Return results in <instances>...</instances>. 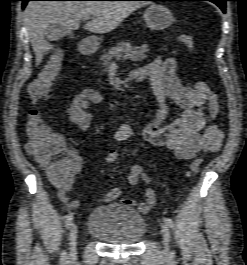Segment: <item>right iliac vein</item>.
Segmentation results:
<instances>
[{"instance_id":"obj_1","label":"right iliac vein","mask_w":247,"mask_h":265,"mask_svg":"<svg viewBox=\"0 0 247 265\" xmlns=\"http://www.w3.org/2000/svg\"><path fill=\"white\" fill-rule=\"evenodd\" d=\"M77 234L78 227L76 224H72L69 232V260L75 261L77 257Z\"/></svg>"}]
</instances>
